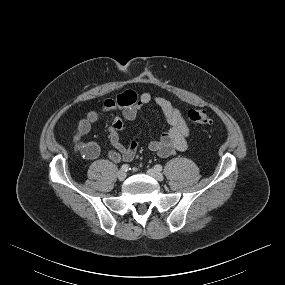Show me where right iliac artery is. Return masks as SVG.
Segmentation results:
<instances>
[{
    "mask_svg": "<svg viewBox=\"0 0 285 285\" xmlns=\"http://www.w3.org/2000/svg\"><path fill=\"white\" fill-rule=\"evenodd\" d=\"M129 169H130V168H129V165H127V164H124V165H122V167H121V170H122V171H125V172H127Z\"/></svg>",
    "mask_w": 285,
    "mask_h": 285,
    "instance_id": "right-iliac-artery-1",
    "label": "right iliac artery"
}]
</instances>
